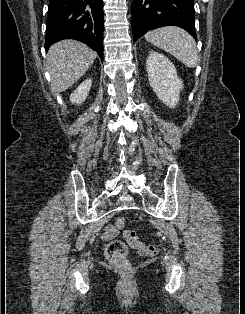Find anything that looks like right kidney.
I'll return each instance as SVG.
<instances>
[{
	"label": "right kidney",
	"mask_w": 245,
	"mask_h": 314,
	"mask_svg": "<svg viewBox=\"0 0 245 314\" xmlns=\"http://www.w3.org/2000/svg\"><path fill=\"white\" fill-rule=\"evenodd\" d=\"M91 85H92L91 79H86L85 81H83L77 87V89L70 95V101L73 104H77V105L83 103L89 94Z\"/></svg>",
	"instance_id": "ca27d5eb"
}]
</instances>
